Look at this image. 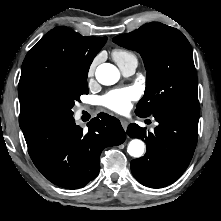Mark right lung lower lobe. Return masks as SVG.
Instances as JSON below:
<instances>
[{
	"label": "right lung lower lobe",
	"mask_w": 221,
	"mask_h": 221,
	"mask_svg": "<svg viewBox=\"0 0 221 221\" xmlns=\"http://www.w3.org/2000/svg\"><path fill=\"white\" fill-rule=\"evenodd\" d=\"M87 125L88 131L83 132L73 116H54L21 127L33 163L55 185L84 187L98 175L103 149L126 139L120 121L106 113Z\"/></svg>",
	"instance_id": "right-lung-lower-lobe-1"
}]
</instances>
